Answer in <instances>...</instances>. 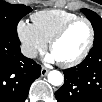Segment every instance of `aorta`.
<instances>
[{"mask_svg": "<svg viewBox=\"0 0 102 102\" xmlns=\"http://www.w3.org/2000/svg\"><path fill=\"white\" fill-rule=\"evenodd\" d=\"M48 82L54 86H60L64 82L63 74L60 71L52 70L48 73Z\"/></svg>", "mask_w": 102, "mask_h": 102, "instance_id": "obj_1", "label": "aorta"}]
</instances>
